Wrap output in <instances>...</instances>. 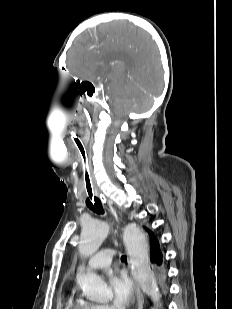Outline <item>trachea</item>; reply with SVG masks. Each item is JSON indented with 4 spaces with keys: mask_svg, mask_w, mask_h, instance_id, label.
<instances>
[{
    "mask_svg": "<svg viewBox=\"0 0 232 309\" xmlns=\"http://www.w3.org/2000/svg\"><path fill=\"white\" fill-rule=\"evenodd\" d=\"M72 140L80 154L81 162H82V175L84 181V189L86 191V205L87 207L97 214H103V206L100 199L96 196L92 176L90 171V164L87 149L84 145V142L77 134H72ZM127 258L125 255L121 256V261H126Z\"/></svg>",
    "mask_w": 232,
    "mask_h": 309,
    "instance_id": "obj_1",
    "label": "trachea"
}]
</instances>
